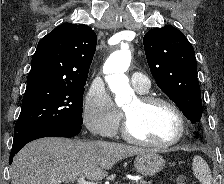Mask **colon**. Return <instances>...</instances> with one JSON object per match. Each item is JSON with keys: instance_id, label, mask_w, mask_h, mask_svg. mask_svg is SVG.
<instances>
[{"instance_id": "5ec220e1", "label": "colon", "mask_w": 224, "mask_h": 184, "mask_svg": "<svg viewBox=\"0 0 224 184\" xmlns=\"http://www.w3.org/2000/svg\"><path fill=\"white\" fill-rule=\"evenodd\" d=\"M177 182H178L177 184H191L189 179L186 176H184V175H180L178 177V181Z\"/></svg>"}]
</instances>
